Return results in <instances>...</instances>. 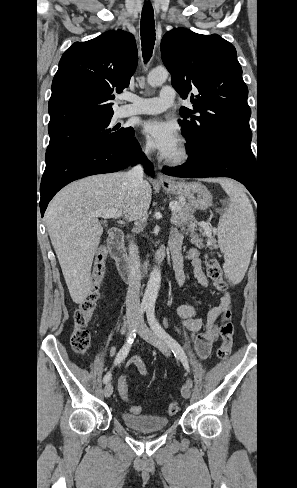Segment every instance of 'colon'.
Returning a JSON list of instances; mask_svg holds the SVG:
<instances>
[{"label":"colon","mask_w":297,"mask_h":488,"mask_svg":"<svg viewBox=\"0 0 297 488\" xmlns=\"http://www.w3.org/2000/svg\"><path fill=\"white\" fill-rule=\"evenodd\" d=\"M108 251L105 246H100L95 254L93 278L90 288L80 303L78 309L74 313V331L71 335V347L76 354L84 355L90 345V334L87 326L96 310L97 302L100 298V290L105 276V264ZM205 269L208 277L213 282V285L218 290H225L227 284L223 279L222 269L218 260L207 254L205 256ZM230 311H226L222 315V323L219 329L221 337V345L217 351V356L220 359H226L232 348L234 328L230 321ZM117 395L121 397L122 402L128 401L129 390L127 389V376L121 375L120 381L117 383ZM141 406L132 405L130 411L133 414L141 412ZM179 405L172 402L167 407L168 415H174L178 412Z\"/></svg>","instance_id":"1"}]
</instances>
